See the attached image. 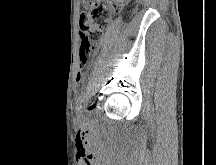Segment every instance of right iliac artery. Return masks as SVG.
Returning <instances> with one entry per match:
<instances>
[{"instance_id":"right-iliac-artery-1","label":"right iliac artery","mask_w":216,"mask_h":165,"mask_svg":"<svg viewBox=\"0 0 216 165\" xmlns=\"http://www.w3.org/2000/svg\"><path fill=\"white\" fill-rule=\"evenodd\" d=\"M76 110H77V111H80V110H81V104H78V105H77Z\"/></svg>"}]
</instances>
